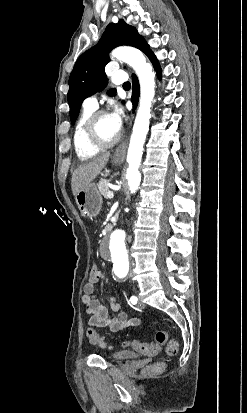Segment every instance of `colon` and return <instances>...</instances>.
<instances>
[{"instance_id":"1","label":"colon","mask_w":247,"mask_h":413,"mask_svg":"<svg viewBox=\"0 0 247 413\" xmlns=\"http://www.w3.org/2000/svg\"><path fill=\"white\" fill-rule=\"evenodd\" d=\"M100 263H93L92 264V271L88 273V278L90 280H95L97 276L101 275V272L97 270V266ZM86 336L90 343L94 345H101L102 339L98 335V333L93 328H88L86 331ZM127 345L133 348L134 350L141 352L145 355H153L154 353H162L157 352L160 345L162 348L166 349L167 355H178L179 354V346L178 341L176 339H169L168 335L161 330H158L155 333V337L152 338V343L143 342L140 340H129L127 341ZM156 347V348H155ZM166 367L165 361H158L152 365H150L147 369L148 374H157L162 372Z\"/></svg>"}]
</instances>
